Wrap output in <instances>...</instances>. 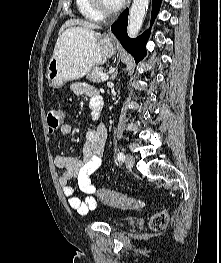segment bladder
<instances>
[{"label": "bladder", "mask_w": 221, "mask_h": 263, "mask_svg": "<svg viewBox=\"0 0 221 263\" xmlns=\"http://www.w3.org/2000/svg\"><path fill=\"white\" fill-rule=\"evenodd\" d=\"M113 225L117 226V227H121L124 225V222L123 221H115V222H113Z\"/></svg>", "instance_id": "bladder-1"}]
</instances>
